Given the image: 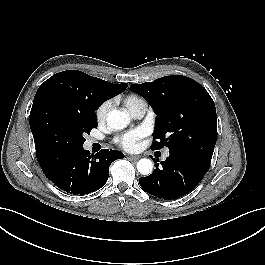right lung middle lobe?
<instances>
[{"label": "right lung middle lobe", "mask_w": 265, "mask_h": 265, "mask_svg": "<svg viewBox=\"0 0 265 265\" xmlns=\"http://www.w3.org/2000/svg\"><path fill=\"white\" fill-rule=\"evenodd\" d=\"M97 108H72L50 97L35 102L29 123L37 159L83 147L84 135L97 127Z\"/></svg>", "instance_id": "right-lung-middle-lobe-1"}]
</instances>
